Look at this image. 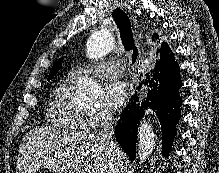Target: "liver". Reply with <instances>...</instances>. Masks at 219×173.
I'll list each match as a JSON object with an SVG mask.
<instances>
[{"label": "liver", "mask_w": 219, "mask_h": 173, "mask_svg": "<svg viewBox=\"0 0 219 173\" xmlns=\"http://www.w3.org/2000/svg\"><path fill=\"white\" fill-rule=\"evenodd\" d=\"M124 153L119 150L115 173L123 169ZM108 145L98 134L35 128L19 147L16 173H35L40 167L58 173H110Z\"/></svg>", "instance_id": "obj_1"}]
</instances>
